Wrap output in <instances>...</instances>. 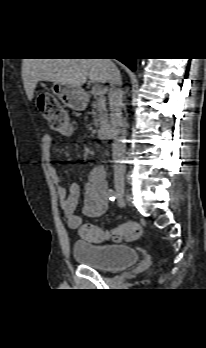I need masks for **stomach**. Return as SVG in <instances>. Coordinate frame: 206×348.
I'll list each match as a JSON object with an SVG mask.
<instances>
[{
    "instance_id": "obj_1",
    "label": "stomach",
    "mask_w": 206,
    "mask_h": 348,
    "mask_svg": "<svg viewBox=\"0 0 206 348\" xmlns=\"http://www.w3.org/2000/svg\"><path fill=\"white\" fill-rule=\"evenodd\" d=\"M51 90L65 106L77 111L85 109L86 94L81 88L63 83H54Z\"/></svg>"
}]
</instances>
